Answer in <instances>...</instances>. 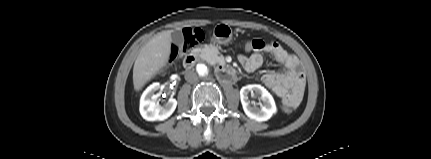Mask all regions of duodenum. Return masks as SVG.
<instances>
[{
    "label": "duodenum",
    "mask_w": 431,
    "mask_h": 159,
    "mask_svg": "<svg viewBox=\"0 0 431 159\" xmlns=\"http://www.w3.org/2000/svg\"><path fill=\"white\" fill-rule=\"evenodd\" d=\"M198 59V55L195 52H192L185 56L183 65L186 69H190L194 66ZM218 77L219 80L223 83L229 84L236 80L235 71L225 64H220L218 66Z\"/></svg>",
    "instance_id": "duodenum-1"
}]
</instances>
